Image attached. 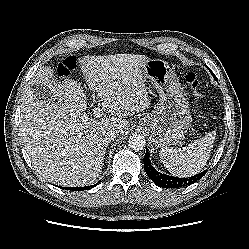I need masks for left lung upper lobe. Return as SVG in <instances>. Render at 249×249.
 Instances as JSON below:
<instances>
[{
	"instance_id": "5c2ea615",
	"label": "left lung upper lobe",
	"mask_w": 249,
	"mask_h": 249,
	"mask_svg": "<svg viewBox=\"0 0 249 249\" xmlns=\"http://www.w3.org/2000/svg\"><path fill=\"white\" fill-rule=\"evenodd\" d=\"M207 67V66H206ZM208 68V67H207ZM209 69V68H208ZM210 70V69H209ZM211 74L213 75L214 79L217 80L216 76L214 75V73L210 70Z\"/></svg>"
}]
</instances>
